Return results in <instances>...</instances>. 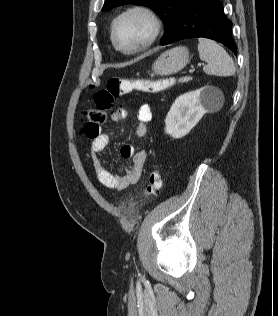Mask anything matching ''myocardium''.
<instances>
[{"label": "myocardium", "instance_id": "1", "mask_svg": "<svg viewBox=\"0 0 278 316\" xmlns=\"http://www.w3.org/2000/svg\"><path fill=\"white\" fill-rule=\"evenodd\" d=\"M134 15L141 16L147 20L150 26L149 34L144 41H142L135 47L125 49L121 47L116 40V27L121 20ZM161 29V20L159 19L155 11L146 5L136 4L125 8L115 16L110 27V38L116 50L123 54L133 55L150 47L157 40L158 36L160 35Z\"/></svg>", "mask_w": 278, "mask_h": 316}]
</instances>
